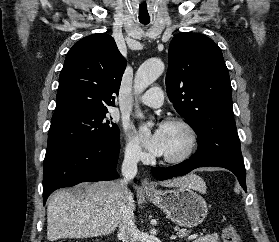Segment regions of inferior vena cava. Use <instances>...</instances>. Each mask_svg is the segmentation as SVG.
Returning <instances> with one entry per match:
<instances>
[{
	"label": "inferior vena cava",
	"instance_id": "1",
	"mask_svg": "<svg viewBox=\"0 0 279 242\" xmlns=\"http://www.w3.org/2000/svg\"><path fill=\"white\" fill-rule=\"evenodd\" d=\"M139 159L140 151L138 148H129L125 152L124 161L122 163L121 173L124 180L119 182L122 190V203L118 237L123 242H137L138 230L134 221L132 194L129 191L127 184L137 174V163Z\"/></svg>",
	"mask_w": 279,
	"mask_h": 242
}]
</instances>
